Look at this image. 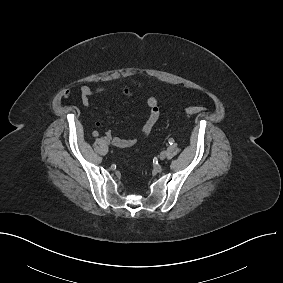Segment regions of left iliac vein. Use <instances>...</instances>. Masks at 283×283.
Here are the masks:
<instances>
[{
	"mask_svg": "<svg viewBox=\"0 0 283 283\" xmlns=\"http://www.w3.org/2000/svg\"><path fill=\"white\" fill-rule=\"evenodd\" d=\"M167 156V152L166 151H162L159 155L160 160H164Z\"/></svg>",
	"mask_w": 283,
	"mask_h": 283,
	"instance_id": "4c4485c4",
	"label": "left iliac vein"
}]
</instances>
